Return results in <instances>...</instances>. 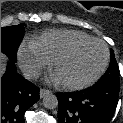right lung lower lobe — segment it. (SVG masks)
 I'll return each instance as SVG.
<instances>
[{
    "mask_svg": "<svg viewBox=\"0 0 123 123\" xmlns=\"http://www.w3.org/2000/svg\"><path fill=\"white\" fill-rule=\"evenodd\" d=\"M39 100V88L16 72L14 62L1 78V123H25L24 114Z\"/></svg>",
    "mask_w": 123,
    "mask_h": 123,
    "instance_id": "right-lung-lower-lobe-1",
    "label": "right lung lower lobe"
}]
</instances>
